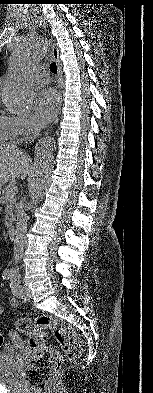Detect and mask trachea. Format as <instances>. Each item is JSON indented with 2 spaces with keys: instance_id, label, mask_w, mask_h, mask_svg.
I'll return each instance as SVG.
<instances>
[{
  "instance_id": "3493384b",
  "label": "trachea",
  "mask_w": 153,
  "mask_h": 393,
  "mask_svg": "<svg viewBox=\"0 0 153 393\" xmlns=\"http://www.w3.org/2000/svg\"><path fill=\"white\" fill-rule=\"evenodd\" d=\"M50 71H51L53 74H57V65H56V62H52V63H51V65H50Z\"/></svg>"
}]
</instances>
